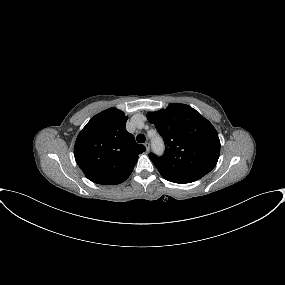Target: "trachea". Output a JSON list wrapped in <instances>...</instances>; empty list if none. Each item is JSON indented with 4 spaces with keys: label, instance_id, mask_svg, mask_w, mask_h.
Masks as SVG:
<instances>
[{
    "label": "trachea",
    "instance_id": "trachea-1",
    "mask_svg": "<svg viewBox=\"0 0 285 285\" xmlns=\"http://www.w3.org/2000/svg\"><path fill=\"white\" fill-rule=\"evenodd\" d=\"M136 140L138 143H144L146 140L145 135L144 134H138L136 137Z\"/></svg>",
    "mask_w": 285,
    "mask_h": 285
}]
</instances>
